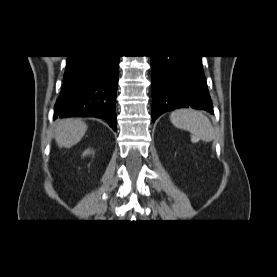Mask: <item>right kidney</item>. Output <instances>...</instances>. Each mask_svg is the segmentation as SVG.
Here are the masks:
<instances>
[{"mask_svg":"<svg viewBox=\"0 0 277 277\" xmlns=\"http://www.w3.org/2000/svg\"><path fill=\"white\" fill-rule=\"evenodd\" d=\"M86 154H88V151H85V152H84V155H86Z\"/></svg>","mask_w":277,"mask_h":277,"instance_id":"1","label":"right kidney"}]
</instances>
